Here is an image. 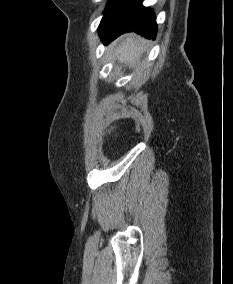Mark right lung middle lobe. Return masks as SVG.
<instances>
[{"instance_id":"right-lung-middle-lobe-1","label":"right lung middle lobe","mask_w":233,"mask_h":284,"mask_svg":"<svg viewBox=\"0 0 233 284\" xmlns=\"http://www.w3.org/2000/svg\"><path fill=\"white\" fill-rule=\"evenodd\" d=\"M114 0H111L108 5H107V8L110 6V4L113 2Z\"/></svg>"}]
</instances>
